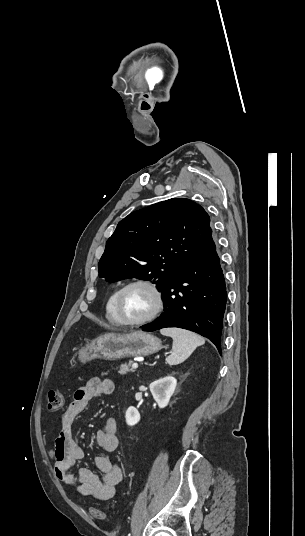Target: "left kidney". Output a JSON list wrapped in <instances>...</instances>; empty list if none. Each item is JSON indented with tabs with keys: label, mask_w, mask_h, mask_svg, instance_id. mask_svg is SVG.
<instances>
[{
	"label": "left kidney",
	"mask_w": 305,
	"mask_h": 536,
	"mask_svg": "<svg viewBox=\"0 0 305 536\" xmlns=\"http://www.w3.org/2000/svg\"><path fill=\"white\" fill-rule=\"evenodd\" d=\"M176 386L177 380L176 378H173V376H165V378H160V380H156V382L150 384V392L159 408H166V406H168ZM125 418L128 426H135L140 420V414L137 408L130 406V408L126 410Z\"/></svg>",
	"instance_id": "left-kidney-1"
}]
</instances>
